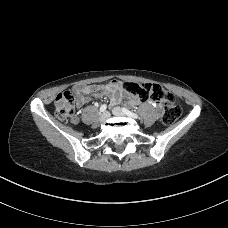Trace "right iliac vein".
Segmentation results:
<instances>
[{
    "instance_id": "right-iliac-vein-1",
    "label": "right iliac vein",
    "mask_w": 228,
    "mask_h": 228,
    "mask_svg": "<svg viewBox=\"0 0 228 228\" xmlns=\"http://www.w3.org/2000/svg\"><path fill=\"white\" fill-rule=\"evenodd\" d=\"M109 117H110V113H109V112H104V113H102V114L100 115L99 120H100L101 122H104V121H106Z\"/></svg>"
}]
</instances>
